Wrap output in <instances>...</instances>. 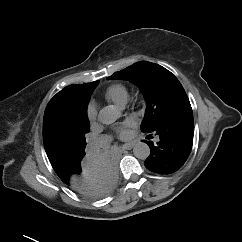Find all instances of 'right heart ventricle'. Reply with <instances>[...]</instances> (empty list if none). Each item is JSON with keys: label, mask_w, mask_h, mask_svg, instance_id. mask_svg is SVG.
<instances>
[{"label": "right heart ventricle", "mask_w": 242, "mask_h": 242, "mask_svg": "<svg viewBox=\"0 0 242 242\" xmlns=\"http://www.w3.org/2000/svg\"><path fill=\"white\" fill-rule=\"evenodd\" d=\"M105 99L118 106H124L129 99V92L124 84L116 83L109 86L105 91Z\"/></svg>", "instance_id": "obj_1"}]
</instances>
